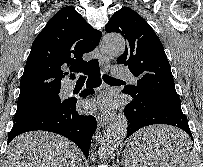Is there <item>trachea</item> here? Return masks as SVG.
I'll return each mask as SVG.
<instances>
[{"mask_svg": "<svg viewBox=\"0 0 203 167\" xmlns=\"http://www.w3.org/2000/svg\"><path fill=\"white\" fill-rule=\"evenodd\" d=\"M85 79H86V76L80 75L78 80L80 81V80H85ZM103 80H104L106 83L121 81V80H119V79L113 78V77L108 76V75H106V74L103 75Z\"/></svg>", "mask_w": 203, "mask_h": 167, "instance_id": "3493384b", "label": "trachea"}]
</instances>
